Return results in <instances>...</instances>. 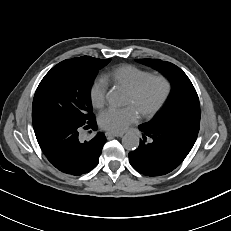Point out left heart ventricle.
<instances>
[{
    "label": "left heart ventricle",
    "instance_id": "left-heart-ventricle-1",
    "mask_svg": "<svg viewBox=\"0 0 231 231\" xmlns=\"http://www.w3.org/2000/svg\"><path fill=\"white\" fill-rule=\"evenodd\" d=\"M164 91L165 85L161 80H151L137 96L127 93L125 105L133 106L140 115L155 106L163 96Z\"/></svg>",
    "mask_w": 231,
    "mask_h": 231
}]
</instances>
